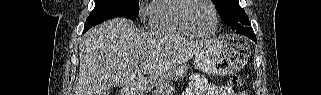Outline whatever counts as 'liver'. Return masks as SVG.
<instances>
[{
    "label": "liver",
    "mask_w": 321,
    "mask_h": 95,
    "mask_svg": "<svg viewBox=\"0 0 321 95\" xmlns=\"http://www.w3.org/2000/svg\"><path fill=\"white\" fill-rule=\"evenodd\" d=\"M206 43L141 33L126 18L109 20L89 30L81 40L74 95H109L113 85L135 83L142 74L158 80Z\"/></svg>",
    "instance_id": "liver-1"
}]
</instances>
